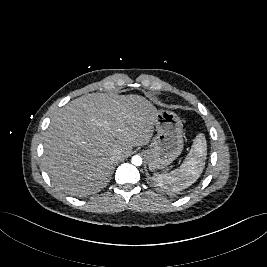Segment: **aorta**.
Masks as SVG:
<instances>
[{
    "mask_svg": "<svg viewBox=\"0 0 267 267\" xmlns=\"http://www.w3.org/2000/svg\"><path fill=\"white\" fill-rule=\"evenodd\" d=\"M131 162L135 166H140L142 164V158L138 155L132 157Z\"/></svg>",
    "mask_w": 267,
    "mask_h": 267,
    "instance_id": "762f6f07",
    "label": "aorta"
}]
</instances>
